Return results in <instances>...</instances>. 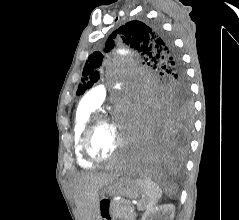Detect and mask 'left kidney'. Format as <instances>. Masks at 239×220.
<instances>
[{
	"instance_id": "1",
	"label": "left kidney",
	"mask_w": 239,
	"mask_h": 220,
	"mask_svg": "<svg viewBox=\"0 0 239 220\" xmlns=\"http://www.w3.org/2000/svg\"><path fill=\"white\" fill-rule=\"evenodd\" d=\"M175 215V206L165 204L148 209L141 220H173Z\"/></svg>"
}]
</instances>
